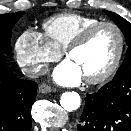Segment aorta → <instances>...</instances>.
<instances>
[{
  "instance_id": "aorta-1",
  "label": "aorta",
  "mask_w": 131,
  "mask_h": 131,
  "mask_svg": "<svg viewBox=\"0 0 131 131\" xmlns=\"http://www.w3.org/2000/svg\"><path fill=\"white\" fill-rule=\"evenodd\" d=\"M60 104L66 111H74L80 107L81 99L76 92H64L60 98Z\"/></svg>"
}]
</instances>
